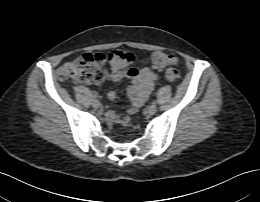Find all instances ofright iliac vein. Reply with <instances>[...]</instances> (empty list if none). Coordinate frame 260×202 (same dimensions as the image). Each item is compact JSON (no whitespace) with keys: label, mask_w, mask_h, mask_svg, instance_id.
I'll use <instances>...</instances> for the list:
<instances>
[{"label":"right iliac vein","mask_w":260,"mask_h":202,"mask_svg":"<svg viewBox=\"0 0 260 202\" xmlns=\"http://www.w3.org/2000/svg\"><path fill=\"white\" fill-rule=\"evenodd\" d=\"M92 105L95 108H99L100 107V102L98 100H93Z\"/></svg>","instance_id":"right-iliac-vein-1"}]
</instances>
